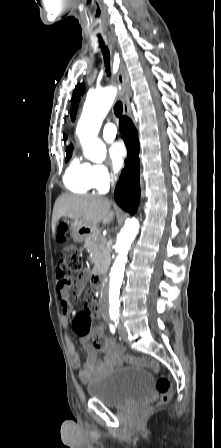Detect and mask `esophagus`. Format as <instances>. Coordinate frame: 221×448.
<instances>
[{
	"instance_id": "34e87169",
	"label": "esophagus",
	"mask_w": 221,
	"mask_h": 448,
	"mask_svg": "<svg viewBox=\"0 0 221 448\" xmlns=\"http://www.w3.org/2000/svg\"><path fill=\"white\" fill-rule=\"evenodd\" d=\"M111 43V48H116L114 38H109ZM116 80L119 85V94L123 101V112L125 116H128L130 113V86L128 83V75L124 62L120 58L119 60V69L117 71Z\"/></svg>"
}]
</instances>
